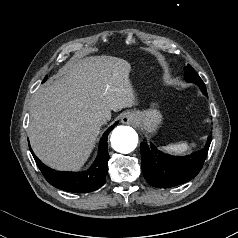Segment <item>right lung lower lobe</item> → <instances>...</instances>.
Wrapping results in <instances>:
<instances>
[{
	"instance_id": "98d812e1",
	"label": "right lung lower lobe",
	"mask_w": 238,
	"mask_h": 238,
	"mask_svg": "<svg viewBox=\"0 0 238 238\" xmlns=\"http://www.w3.org/2000/svg\"><path fill=\"white\" fill-rule=\"evenodd\" d=\"M116 124L117 123L104 133L100 141L99 153L95 162L87 171L82 173L54 171L41 163L31 148L30 150L43 176L54 187L74 193L95 191L103 186L106 181L109 160L107 137Z\"/></svg>"
}]
</instances>
